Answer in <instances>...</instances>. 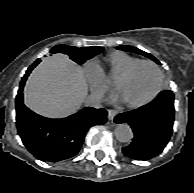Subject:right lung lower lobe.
I'll return each instance as SVG.
<instances>
[{
    "label": "right lung lower lobe",
    "mask_w": 194,
    "mask_h": 193,
    "mask_svg": "<svg viewBox=\"0 0 194 193\" xmlns=\"http://www.w3.org/2000/svg\"><path fill=\"white\" fill-rule=\"evenodd\" d=\"M30 74L27 71L16 96V122L23 144L37 159L57 162L75 156L88 129L107 121V111L92 107L67 118L50 119L29 110L23 103V87Z\"/></svg>",
    "instance_id": "1"
}]
</instances>
